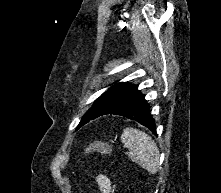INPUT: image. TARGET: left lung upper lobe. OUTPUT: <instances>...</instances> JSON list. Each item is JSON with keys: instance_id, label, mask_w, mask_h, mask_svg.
Segmentation results:
<instances>
[{"instance_id": "5c2ea615", "label": "left lung upper lobe", "mask_w": 221, "mask_h": 193, "mask_svg": "<svg viewBox=\"0 0 221 193\" xmlns=\"http://www.w3.org/2000/svg\"><path fill=\"white\" fill-rule=\"evenodd\" d=\"M130 84L117 83L110 87L105 93H103L95 102V104L86 112L82 117L78 128L87 123L88 121L99 117L106 108L122 93V91L128 87Z\"/></svg>"}]
</instances>
